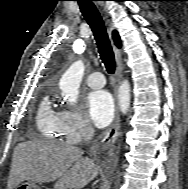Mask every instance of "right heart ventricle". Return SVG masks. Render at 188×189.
Returning <instances> with one entry per match:
<instances>
[{
  "label": "right heart ventricle",
  "instance_id": "obj_1",
  "mask_svg": "<svg viewBox=\"0 0 188 189\" xmlns=\"http://www.w3.org/2000/svg\"><path fill=\"white\" fill-rule=\"evenodd\" d=\"M36 125L40 134L47 139H60L64 129L61 113L56 111L48 95L44 96L39 104L36 114Z\"/></svg>",
  "mask_w": 188,
  "mask_h": 189
}]
</instances>
